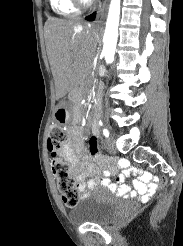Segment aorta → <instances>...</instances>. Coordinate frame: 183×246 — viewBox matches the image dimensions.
Returning <instances> with one entry per match:
<instances>
[{"label":"aorta","mask_w":183,"mask_h":246,"mask_svg":"<svg viewBox=\"0 0 183 246\" xmlns=\"http://www.w3.org/2000/svg\"><path fill=\"white\" fill-rule=\"evenodd\" d=\"M120 1L111 0L106 27L103 37V51L102 54L107 64L114 61L115 49L118 39V26L120 20Z\"/></svg>","instance_id":"1"}]
</instances>
